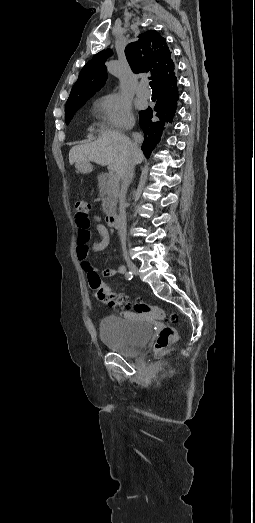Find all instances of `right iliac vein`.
Returning <instances> with one entry per match:
<instances>
[{"mask_svg": "<svg viewBox=\"0 0 255 523\" xmlns=\"http://www.w3.org/2000/svg\"><path fill=\"white\" fill-rule=\"evenodd\" d=\"M127 266L133 274H138V267L130 259H126Z\"/></svg>", "mask_w": 255, "mask_h": 523, "instance_id": "63e3f726", "label": "right iliac vein"}]
</instances>
